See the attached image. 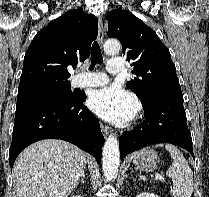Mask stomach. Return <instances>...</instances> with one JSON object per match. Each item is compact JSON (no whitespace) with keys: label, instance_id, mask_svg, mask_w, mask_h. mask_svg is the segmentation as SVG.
<instances>
[{"label":"stomach","instance_id":"1","mask_svg":"<svg viewBox=\"0 0 209 197\" xmlns=\"http://www.w3.org/2000/svg\"><path fill=\"white\" fill-rule=\"evenodd\" d=\"M134 162L138 169L150 172L157 168L159 158L155 151L143 149V153L137 159H134Z\"/></svg>","mask_w":209,"mask_h":197}]
</instances>
